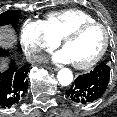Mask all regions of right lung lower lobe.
Returning a JSON list of instances; mask_svg holds the SVG:
<instances>
[{"label":"right lung lower lobe","instance_id":"right-lung-lower-lobe-1","mask_svg":"<svg viewBox=\"0 0 117 117\" xmlns=\"http://www.w3.org/2000/svg\"><path fill=\"white\" fill-rule=\"evenodd\" d=\"M7 55L8 51L0 48V57ZM30 69V64L16 65L12 60L9 69L0 72V108H10L23 99L28 88Z\"/></svg>","mask_w":117,"mask_h":117}]
</instances>
